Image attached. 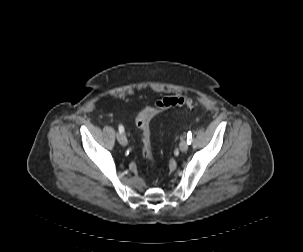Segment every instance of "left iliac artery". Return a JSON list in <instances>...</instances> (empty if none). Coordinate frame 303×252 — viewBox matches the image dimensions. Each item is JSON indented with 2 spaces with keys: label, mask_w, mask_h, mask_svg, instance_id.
Returning <instances> with one entry per match:
<instances>
[{
  "label": "left iliac artery",
  "mask_w": 303,
  "mask_h": 252,
  "mask_svg": "<svg viewBox=\"0 0 303 252\" xmlns=\"http://www.w3.org/2000/svg\"><path fill=\"white\" fill-rule=\"evenodd\" d=\"M187 142H188V144H191V142H192V133H191V131H189L187 133Z\"/></svg>",
  "instance_id": "44dca946"
}]
</instances>
